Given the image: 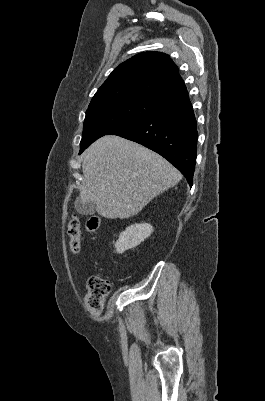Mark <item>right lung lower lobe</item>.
Here are the masks:
<instances>
[{"mask_svg": "<svg viewBox=\"0 0 265 401\" xmlns=\"http://www.w3.org/2000/svg\"><path fill=\"white\" fill-rule=\"evenodd\" d=\"M118 135L157 152L174 165L190 187L197 154V121L186 95L169 101L150 115L113 130Z\"/></svg>", "mask_w": 265, "mask_h": 401, "instance_id": "right-lung-lower-lobe-1", "label": "right lung lower lobe"}]
</instances>
